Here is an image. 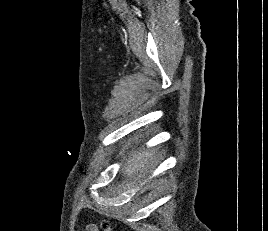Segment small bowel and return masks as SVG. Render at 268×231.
<instances>
[{"mask_svg":"<svg viewBox=\"0 0 268 231\" xmlns=\"http://www.w3.org/2000/svg\"><path fill=\"white\" fill-rule=\"evenodd\" d=\"M84 231H99L98 227L95 224H86Z\"/></svg>","mask_w":268,"mask_h":231,"instance_id":"c3829d8e","label":"small bowel"}]
</instances>
